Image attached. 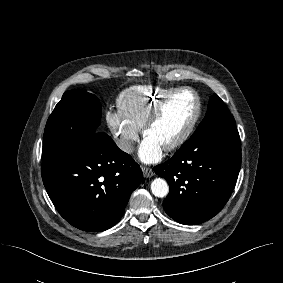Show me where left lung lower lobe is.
<instances>
[{
    "instance_id": "1",
    "label": "left lung lower lobe",
    "mask_w": 283,
    "mask_h": 283,
    "mask_svg": "<svg viewBox=\"0 0 283 283\" xmlns=\"http://www.w3.org/2000/svg\"><path fill=\"white\" fill-rule=\"evenodd\" d=\"M240 166L236 127L191 136L171 159L154 167L169 184V194L163 201L165 212L185 225L209 220L228 201Z\"/></svg>"
}]
</instances>
